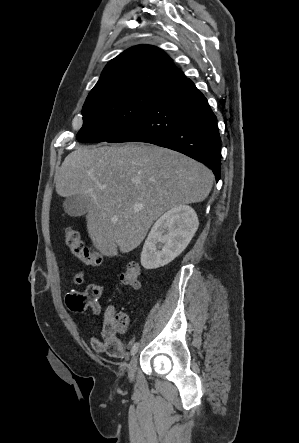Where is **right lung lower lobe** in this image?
<instances>
[{
    "instance_id": "98d812e1",
    "label": "right lung lower lobe",
    "mask_w": 299,
    "mask_h": 443,
    "mask_svg": "<svg viewBox=\"0 0 299 443\" xmlns=\"http://www.w3.org/2000/svg\"><path fill=\"white\" fill-rule=\"evenodd\" d=\"M106 142H146L188 155L221 174V139L207 99L190 79L165 90L138 119Z\"/></svg>"
}]
</instances>
